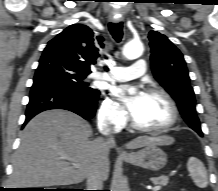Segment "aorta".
Listing matches in <instances>:
<instances>
[{"mask_svg":"<svg viewBox=\"0 0 218 191\" xmlns=\"http://www.w3.org/2000/svg\"><path fill=\"white\" fill-rule=\"evenodd\" d=\"M143 44L140 41H130L126 43L122 49V53L125 58L129 60L139 58L143 53ZM130 94H134L135 90L133 88L129 89Z\"/></svg>","mask_w":218,"mask_h":191,"instance_id":"1","label":"aorta"}]
</instances>
